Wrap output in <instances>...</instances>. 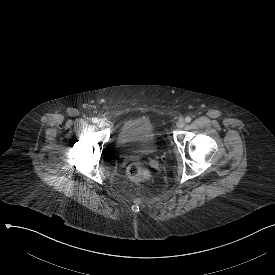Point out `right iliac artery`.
Masks as SVG:
<instances>
[{
	"mask_svg": "<svg viewBox=\"0 0 275 275\" xmlns=\"http://www.w3.org/2000/svg\"><path fill=\"white\" fill-rule=\"evenodd\" d=\"M98 121V119L96 117L92 118V122L96 123Z\"/></svg>",
	"mask_w": 275,
	"mask_h": 275,
	"instance_id": "1",
	"label": "right iliac artery"
}]
</instances>
